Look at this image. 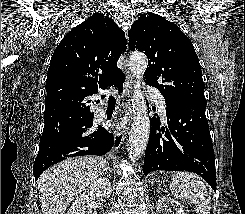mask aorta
I'll list each match as a JSON object with an SVG mask.
<instances>
[{
    "instance_id": "obj_1",
    "label": "aorta",
    "mask_w": 245,
    "mask_h": 214,
    "mask_svg": "<svg viewBox=\"0 0 245 214\" xmlns=\"http://www.w3.org/2000/svg\"><path fill=\"white\" fill-rule=\"evenodd\" d=\"M130 70L135 77L132 91L133 122L128 151L131 161H136L145 151L150 134V120L144 93L141 89L147 58L143 53L133 52L129 59Z\"/></svg>"
}]
</instances>
